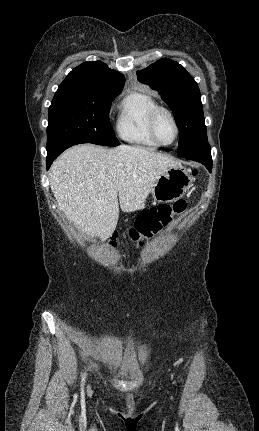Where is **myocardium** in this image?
Masks as SVG:
<instances>
[{
    "label": "myocardium",
    "mask_w": 259,
    "mask_h": 431,
    "mask_svg": "<svg viewBox=\"0 0 259 431\" xmlns=\"http://www.w3.org/2000/svg\"><path fill=\"white\" fill-rule=\"evenodd\" d=\"M161 112L166 113L170 117V119L172 120V123L174 125L175 135H174L172 141L169 143L161 142L157 136V133H156V120H157L158 115ZM148 126H149V132H150L151 137L159 146H170L177 140V138L179 136V125H178L176 116L174 115L173 111L166 106L157 105L151 110V112L149 113V117H148Z\"/></svg>",
    "instance_id": "1"
}]
</instances>
